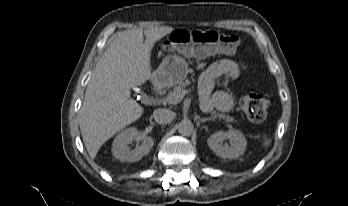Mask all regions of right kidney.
I'll return each mask as SVG.
<instances>
[{"label": "right kidney", "mask_w": 348, "mask_h": 206, "mask_svg": "<svg viewBox=\"0 0 348 206\" xmlns=\"http://www.w3.org/2000/svg\"><path fill=\"white\" fill-rule=\"evenodd\" d=\"M133 141H136L137 145L134 149H130L129 144ZM140 141L141 144H138ZM153 144L151 137L139 132L134 127H130L116 136L112 145V154L121 161L136 162L150 152Z\"/></svg>", "instance_id": "obj_1"}]
</instances>
